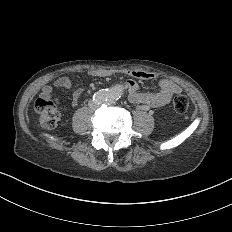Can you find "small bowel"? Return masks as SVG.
<instances>
[{
    "label": "small bowel",
    "mask_w": 232,
    "mask_h": 232,
    "mask_svg": "<svg viewBox=\"0 0 232 232\" xmlns=\"http://www.w3.org/2000/svg\"><path fill=\"white\" fill-rule=\"evenodd\" d=\"M126 77L124 84L129 90L128 99L132 103L145 102L153 107H160L168 103L172 96L181 92L182 88L173 79H162L159 82V92H141L138 87V80H149L155 77V72L150 69H121L118 71L111 69H96L90 73L89 84L92 86L100 85L103 80L113 74ZM73 83L68 78H59L52 85L46 86L43 92L58 101L55 96L56 89H70ZM81 89L77 88L72 93L71 105H76L80 101Z\"/></svg>",
    "instance_id": "c3829d8e"
}]
</instances>
